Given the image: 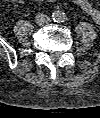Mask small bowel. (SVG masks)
Returning <instances> with one entry per match:
<instances>
[{
    "mask_svg": "<svg viewBox=\"0 0 100 118\" xmlns=\"http://www.w3.org/2000/svg\"><path fill=\"white\" fill-rule=\"evenodd\" d=\"M34 2H42L43 0H33ZM55 2L57 0H48ZM85 13H87L96 23H100V10L92 5L89 0H72Z\"/></svg>",
    "mask_w": 100,
    "mask_h": 118,
    "instance_id": "small-bowel-1",
    "label": "small bowel"
}]
</instances>
